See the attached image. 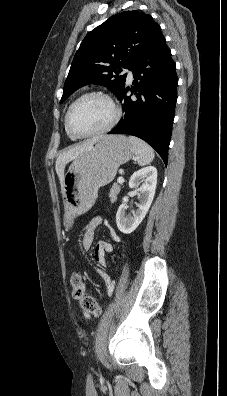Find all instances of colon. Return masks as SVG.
<instances>
[{"mask_svg": "<svg viewBox=\"0 0 227 396\" xmlns=\"http://www.w3.org/2000/svg\"><path fill=\"white\" fill-rule=\"evenodd\" d=\"M72 287V296L79 301L80 308L89 314L98 316L101 314V307L97 300L85 293V283L79 273H73L70 278Z\"/></svg>", "mask_w": 227, "mask_h": 396, "instance_id": "1", "label": "colon"}]
</instances>
